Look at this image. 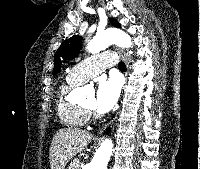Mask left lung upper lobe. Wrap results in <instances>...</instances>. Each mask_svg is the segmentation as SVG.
<instances>
[{"label":"left lung upper lobe","instance_id":"1","mask_svg":"<svg viewBox=\"0 0 200 169\" xmlns=\"http://www.w3.org/2000/svg\"><path fill=\"white\" fill-rule=\"evenodd\" d=\"M110 21L115 27H120V24L115 19L111 18ZM81 43L82 38L75 35L61 44L54 57L53 75H56L61 68V57L64 59L75 58L80 51Z\"/></svg>","mask_w":200,"mask_h":169}]
</instances>
